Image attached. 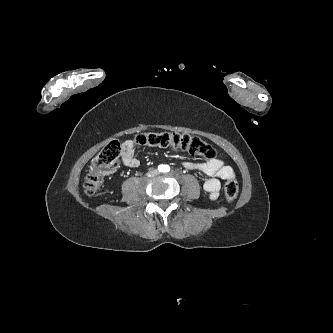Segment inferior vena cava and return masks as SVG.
<instances>
[{
    "label": "inferior vena cava",
    "mask_w": 333,
    "mask_h": 333,
    "mask_svg": "<svg viewBox=\"0 0 333 333\" xmlns=\"http://www.w3.org/2000/svg\"><path fill=\"white\" fill-rule=\"evenodd\" d=\"M158 173H159L158 170L155 169L153 171L148 172V176H151V177L156 176V175H158Z\"/></svg>",
    "instance_id": "602c4592"
}]
</instances>
